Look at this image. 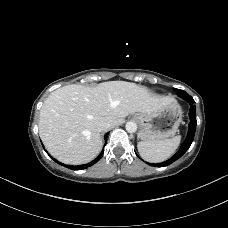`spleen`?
<instances>
[{"label": "spleen", "instance_id": "spleen-1", "mask_svg": "<svg viewBox=\"0 0 228 228\" xmlns=\"http://www.w3.org/2000/svg\"><path fill=\"white\" fill-rule=\"evenodd\" d=\"M181 136L160 141H140L137 144L141 157L148 162H162L168 159L178 148Z\"/></svg>", "mask_w": 228, "mask_h": 228}]
</instances>
